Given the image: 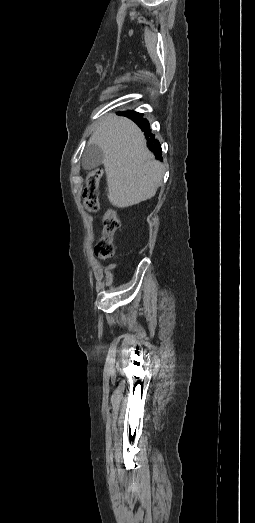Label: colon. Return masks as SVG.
Listing matches in <instances>:
<instances>
[{"mask_svg": "<svg viewBox=\"0 0 255 523\" xmlns=\"http://www.w3.org/2000/svg\"><path fill=\"white\" fill-rule=\"evenodd\" d=\"M102 176L100 169L89 172L86 186L83 192L84 206L89 212H97L99 209V181ZM102 234L95 246V254L101 260H109L114 257V234L120 228V220L117 212L109 208L102 218Z\"/></svg>", "mask_w": 255, "mask_h": 523, "instance_id": "colon-1", "label": "colon"}]
</instances>
